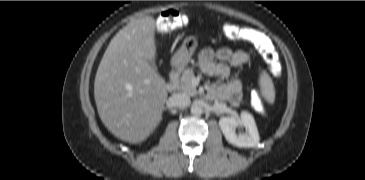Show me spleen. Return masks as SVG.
Returning a JSON list of instances; mask_svg holds the SVG:
<instances>
[{
  "label": "spleen",
  "mask_w": 365,
  "mask_h": 180,
  "mask_svg": "<svg viewBox=\"0 0 365 180\" xmlns=\"http://www.w3.org/2000/svg\"><path fill=\"white\" fill-rule=\"evenodd\" d=\"M259 84L261 88L262 95L269 102L273 103L275 99V90L273 86L272 79L266 73V71H262L259 76Z\"/></svg>",
  "instance_id": "3e777b00"
}]
</instances>
